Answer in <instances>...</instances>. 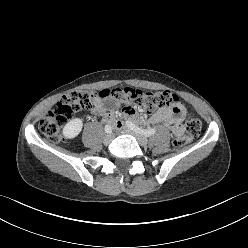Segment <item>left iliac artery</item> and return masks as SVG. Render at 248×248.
Instances as JSON below:
<instances>
[{
  "label": "left iliac artery",
  "instance_id": "44dca946",
  "mask_svg": "<svg viewBox=\"0 0 248 248\" xmlns=\"http://www.w3.org/2000/svg\"><path fill=\"white\" fill-rule=\"evenodd\" d=\"M126 125H127V127L134 130L135 132L141 133V134L145 135L146 137L152 136L156 133V130L153 128L144 130V129L139 128L138 126H136L135 124H133L130 121H127Z\"/></svg>",
  "mask_w": 248,
  "mask_h": 248
}]
</instances>
